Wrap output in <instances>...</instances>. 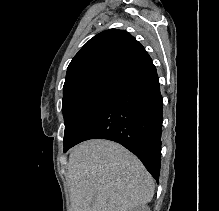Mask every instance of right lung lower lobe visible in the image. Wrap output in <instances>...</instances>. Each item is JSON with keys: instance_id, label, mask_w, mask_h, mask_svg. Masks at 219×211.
<instances>
[{"instance_id": "98d812e1", "label": "right lung lower lobe", "mask_w": 219, "mask_h": 211, "mask_svg": "<svg viewBox=\"0 0 219 211\" xmlns=\"http://www.w3.org/2000/svg\"><path fill=\"white\" fill-rule=\"evenodd\" d=\"M163 101L153 63L119 82L106 96L72 146L89 139L120 143L158 181Z\"/></svg>"}]
</instances>
